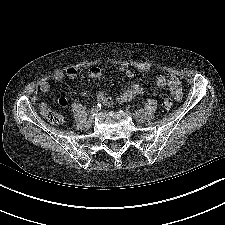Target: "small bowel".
<instances>
[{"label": "small bowel", "mask_w": 225, "mask_h": 225, "mask_svg": "<svg viewBox=\"0 0 225 225\" xmlns=\"http://www.w3.org/2000/svg\"><path fill=\"white\" fill-rule=\"evenodd\" d=\"M119 70L125 74V76L128 79H133L134 77V72L133 70L128 66V65H121ZM78 76V70L75 67H68L64 71H55L52 76L51 80L54 82L61 81L63 78H68V79H75ZM88 76L92 79H97L101 76V69L93 65L89 68L88 70ZM156 83L159 87H168L172 96L176 99L179 100L182 97V89H181V84L179 79L171 75L169 77L165 76H158L156 78ZM39 89L40 91L46 93L49 92L51 89V83L49 80H42L39 84ZM143 90L142 87L138 84H133L130 87L124 89L121 91L118 96L116 97V101L119 103H126L137 96H140L142 94ZM97 99L107 107H112L114 105V100L105 92L99 91L97 93ZM58 103L60 106L64 107L67 105V99L65 97H61L58 100ZM40 109L43 113H46L49 109L48 106L45 103L40 104Z\"/></svg>", "instance_id": "c3829d8e"}]
</instances>
